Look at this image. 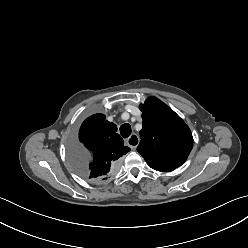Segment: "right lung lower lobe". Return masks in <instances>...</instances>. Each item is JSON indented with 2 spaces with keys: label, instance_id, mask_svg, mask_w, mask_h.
<instances>
[{
  "label": "right lung lower lobe",
  "instance_id": "obj_1",
  "mask_svg": "<svg viewBox=\"0 0 248 248\" xmlns=\"http://www.w3.org/2000/svg\"><path fill=\"white\" fill-rule=\"evenodd\" d=\"M117 166H118V165L114 166V167L111 169V171L109 172L108 176H106V177H104V178L96 179V180H94V181L99 182V181L107 180L108 178H110L112 175L115 174V172H116V170H117Z\"/></svg>",
  "mask_w": 248,
  "mask_h": 248
}]
</instances>
